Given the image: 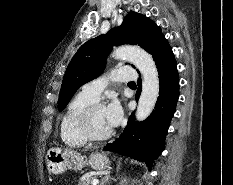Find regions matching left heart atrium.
<instances>
[{
	"mask_svg": "<svg viewBox=\"0 0 233 185\" xmlns=\"http://www.w3.org/2000/svg\"><path fill=\"white\" fill-rule=\"evenodd\" d=\"M105 113L111 128L117 126L120 123L123 115L122 107L117 100L111 101L105 107Z\"/></svg>",
	"mask_w": 233,
	"mask_h": 185,
	"instance_id": "left-heart-atrium-1",
	"label": "left heart atrium"
}]
</instances>
